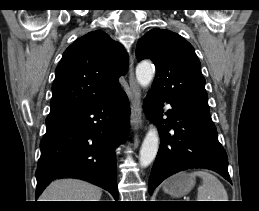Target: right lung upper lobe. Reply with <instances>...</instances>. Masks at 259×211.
I'll list each match as a JSON object with an SVG mask.
<instances>
[{"label":"right lung upper lobe","instance_id":"1","mask_svg":"<svg viewBox=\"0 0 259 211\" xmlns=\"http://www.w3.org/2000/svg\"><path fill=\"white\" fill-rule=\"evenodd\" d=\"M128 57L106 33L90 32L70 45L56 68L50 113L87 107L117 95Z\"/></svg>","mask_w":259,"mask_h":211}]
</instances>
